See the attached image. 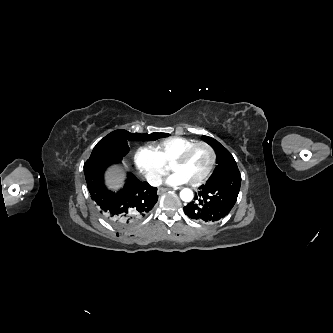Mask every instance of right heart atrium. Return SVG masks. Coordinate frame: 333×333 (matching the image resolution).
Masks as SVG:
<instances>
[{
    "label": "right heart atrium",
    "instance_id": "obj_1",
    "mask_svg": "<svg viewBox=\"0 0 333 333\" xmlns=\"http://www.w3.org/2000/svg\"><path fill=\"white\" fill-rule=\"evenodd\" d=\"M134 162L139 173L152 186H158L166 168L156 152L147 146L139 147L134 155Z\"/></svg>",
    "mask_w": 333,
    "mask_h": 333
}]
</instances>
